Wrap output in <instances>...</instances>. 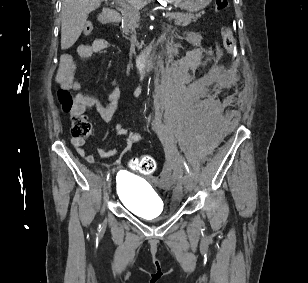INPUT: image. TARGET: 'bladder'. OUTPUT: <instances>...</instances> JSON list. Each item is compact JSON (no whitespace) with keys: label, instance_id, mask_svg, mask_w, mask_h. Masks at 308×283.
<instances>
[{"label":"bladder","instance_id":"obj_1","mask_svg":"<svg viewBox=\"0 0 308 283\" xmlns=\"http://www.w3.org/2000/svg\"><path fill=\"white\" fill-rule=\"evenodd\" d=\"M116 195L132 213L142 218H157L165 206L156 190L144 179L120 171L116 180Z\"/></svg>","mask_w":308,"mask_h":283}]
</instances>
